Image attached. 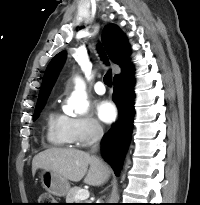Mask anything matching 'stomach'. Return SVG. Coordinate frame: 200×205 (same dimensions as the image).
I'll return each mask as SVG.
<instances>
[{
    "instance_id": "stomach-1",
    "label": "stomach",
    "mask_w": 200,
    "mask_h": 205,
    "mask_svg": "<svg viewBox=\"0 0 200 205\" xmlns=\"http://www.w3.org/2000/svg\"><path fill=\"white\" fill-rule=\"evenodd\" d=\"M40 179L43 187L54 196L63 197L70 190V184L66 178L58 173L42 170Z\"/></svg>"
}]
</instances>
